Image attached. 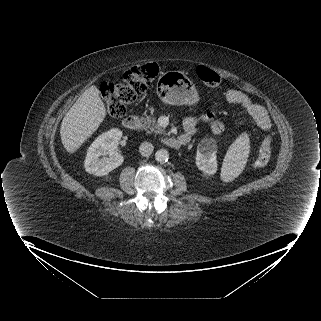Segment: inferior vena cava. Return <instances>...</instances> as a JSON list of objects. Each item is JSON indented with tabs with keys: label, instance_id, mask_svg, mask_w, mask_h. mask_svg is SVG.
Returning a JSON list of instances; mask_svg holds the SVG:
<instances>
[{
	"label": "inferior vena cava",
	"instance_id": "1",
	"mask_svg": "<svg viewBox=\"0 0 321 321\" xmlns=\"http://www.w3.org/2000/svg\"><path fill=\"white\" fill-rule=\"evenodd\" d=\"M154 150V146L152 143L150 142H143L141 143L140 147H139V152L142 156L148 157L152 154Z\"/></svg>",
	"mask_w": 321,
	"mask_h": 321
}]
</instances>
